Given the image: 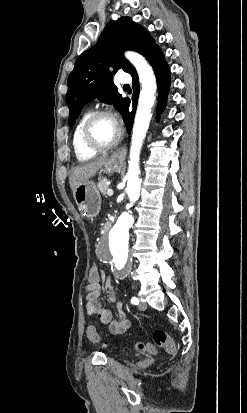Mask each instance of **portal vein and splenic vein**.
Instances as JSON below:
<instances>
[{
    "instance_id": "1",
    "label": "portal vein and splenic vein",
    "mask_w": 247,
    "mask_h": 413,
    "mask_svg": "<svg viewBox=\"0 0 247 413\" xmlns=\"http://www.w3.org/2000/svg\"><path fill=\"white\" fill-rule=\"evenodd\" d=\"M107 194H108V196H112V194H113L112 188H108Z\"/></svg>"
}]
</instances>
